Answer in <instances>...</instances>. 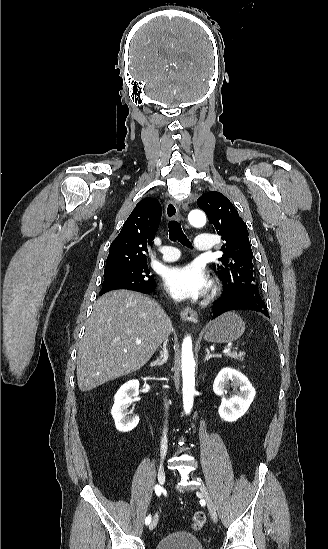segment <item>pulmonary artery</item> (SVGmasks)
I'll use <instances>...</instances> for the list:
<instances>
[{
  "instance_id": "pulmonary-artery-1",
  "label": "pulmonary artery",
  "mask_w": 328,
  "mask_h": 549,
  "mask_svg": "<svg viewBox=\"0 0 328 549\" xmlns=\"http://www.w3.org/2000/svg\"><path fill=\"white\" fill-rule=\"evenodd\" d=\"M194 247L198 248L200 252H214L216 244L212 237H195L193 241ZM184 253L181 247H178L175 252L170 248L165 247L162 250L163 259L166 262H172Z\"/></svg>"
}]
</instances>
